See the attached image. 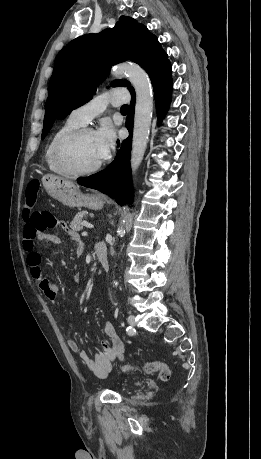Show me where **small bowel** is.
<instances>
[{
	"instance_id": "small-bowel-1",
	"label": "small bowel",
	"mask_w": 261,
	"mask_h": 459,
	"mask_svg": "<svg viewBox=\"0 0 261 459\" xmlns=\"http://www.w3.org/2000/svg\"><path fill=\"white\" fill-rule=\"evenodd\" d=\"M25 217V216H24ZM26 218V217H25ZM62 228L68 232L71 238L78 246V252L83 251V244L77 233L70 230L64 223ZM37 241L50 245L61 244V238L50 232H36L35 238H23V248L28 253L27 265L31 276L37 281L39 288L47 299L53 303H58L59 288L49 277L45 276L41 270V255L35 250ZM103 332L107 337V341L102 343V352L95 354L90 358L86 351L80 350L79 344L74 339H69L67 344L71 351L78 353L80 360L89 367L97 376L103 377L111 370V361L116 358H122L124 354V346L118 337L114 325L110 321H106L103 325Z\"/></svg>"
}]
</instances>
